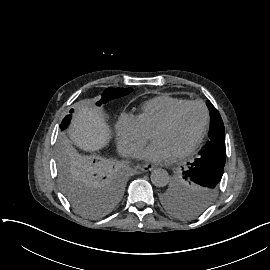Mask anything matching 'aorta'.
I'll return each instance as SVG.
<instances>
[{
  "label": "aorta",
  "mask_w": 270,
  "mask_h": 270,
  "mask_svg": "<svg viewBox=\"0 0 270 270\" xmlns=\"http://www.w3.org/2000/svg\"><path fill=\"white\" fill-rule=\"evenodd\" d=\"M151 182L156 187H164L169 182V174L164 169H155L151 174Z\"/></svg>",
  "instance_id": "aorta-1"
}]
</instances>
